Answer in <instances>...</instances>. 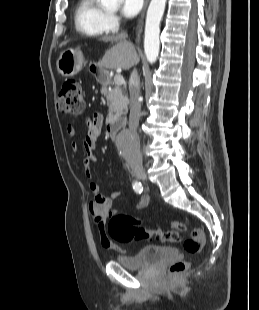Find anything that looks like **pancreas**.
<instances>
[{"label": "pancreas", "mask_w": 259, "mask_h": 310, "mask_svg": "<svg viewBox=\"0 0 259 310\" xmlns=\"http://www.w3.org/2000/svg\"><path fill=\"white\" fill-rule=\"evenodd\" d=\"M101 94L106 97L109 106L106 122L123 121L129 103L128 97L124 95L123 90L119 86H114L109 90L107 84L102 82Z\"/></svg>", "instance_id": "cf45deb5"}]
</instances>
